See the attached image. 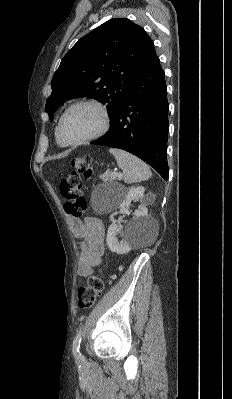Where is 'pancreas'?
Returning <instances> with one entry per match:
<instances>
[{
    "instance_id": "obj_1",
    "label": "pancreas",
    "mask_w": 232,
    "mask_h": 399,
    "mask_svg": "<svg viewBox=\"0 0 232 399\" xmlns=\"http://www.w3.org/2000/svg\"><path fill=\"white\" fill-rule=\"evenodd\" d=\"M99 178H101V180H108V182H113V180H115L112 172H110V170H107V172H105V174H101V176H99Z\"/></svg>"
}]
</instances>
